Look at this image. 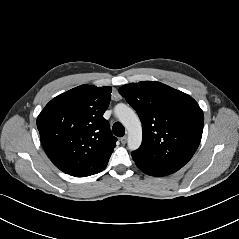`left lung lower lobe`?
Returning a JSON list of instances; mask_svg holds the SVG:
<instances>
[{
	"label": "left lung lower lobe",
	"instance_id": "left-lung-lower-lobe-1",
	"mask_svg": "<svg viewBox=\"0 0 239 239\" xmlns=\"http://www.w3.org/2000/svg\"><path fill=\"white\" fill-rule=\"evenodd\" d=\"M133 160L135 161L137 167L143 171L144 173L148 174V175H151V176H157V177H160V176H165V175H169L168 173L164 172V171H161L159 169H156V168H153L151 166H148L144 163H141L139 161H137L135 158H133Z\"/></svg>",
	"mask_w": 239,
	"mask_h": 239
}]
</instances>
